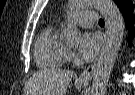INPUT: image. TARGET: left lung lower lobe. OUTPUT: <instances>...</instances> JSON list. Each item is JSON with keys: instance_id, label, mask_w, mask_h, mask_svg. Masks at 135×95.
I'll use <instances>...</instances> for the list:
<instances>
[{"instance_id": "left-lung-lower-lobe-1", "label": "left lung lower lobe", "mask_w": 135, "mask_h": 95, "mask_svg": "<svg viewBox=\"0 0 135 95\" xmlns=\"http://www.w3.org/2000/svg\"><path fill=\"white\" fill-rule=\"evenodd\" d=\"M133 7L134 6L131 4L123 9H120L126 23H128L129 40L135 36V30L132 25L135 22V16L132 14Z\"/></svg>"}]
</instances>
